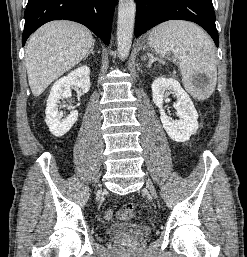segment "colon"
<instances>
[{
	"label": "colon",
	"mask_w": 247,
	"mask_h": 257,
	"mask_svg": "<svg viewBox=\"0 0 247 257\" xmlns=\"http://www.w3.org/2000/svg\"><path fill=\"white\" fill-rule=\"evenodd\" d=\"M135 213V204L132 202H127L123 205L122 210L119 213H115L113 210H107L104 213V218L106 220H112L114 216H118L120 219L127 220L133 217Z\"/></svg>",
	"instance_id": "colon-1"
}]
</instances>
